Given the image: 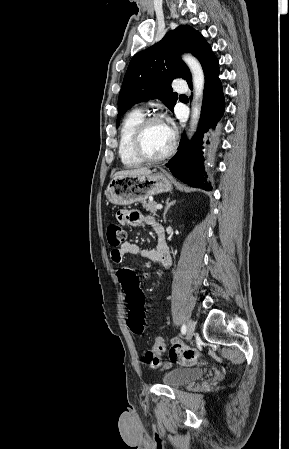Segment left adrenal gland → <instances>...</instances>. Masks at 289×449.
I'll list each match as a JSON object with an SVG mask.
<instances>
[{"label":"left adrenal gland","instance_id":"1","mask_svg":"<svg viewBox=\"0 0 289 449\" xmlns=\"http://www.w3.org/2000/svg\"><path fill=\"white\" fill-rule=\"evenodd\" d=\"M175 202H176V201L170 202V198H168V199L166 200V208H165L164 214H163L164 222H166V213H167V211L169 210V208H170L172 205L175 204Z\"/></svg>","mask_w":289,"mask_h":449}]
</instances>
